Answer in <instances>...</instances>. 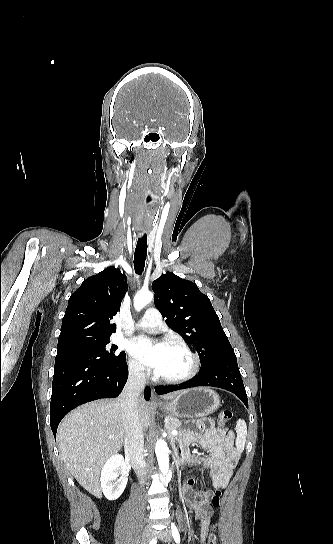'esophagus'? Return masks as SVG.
<instances>
[{
    "label": "esophagus",
    "mask_w": 333,
    "mask_h": 544,
    "mask_svg": "<svg viewBox=\"0 0 333 544\" xmlns=\"http://www.w3.org/2000/svg\"><path fill=\"white\" fill-rule=\"evenodd\" d=\"M151 401H152V403H158L159 402V400L156 397L154 391H152V393H151Z\"/></svg>",
    "instance_id": "esophagus-1"
}]
</instances>
